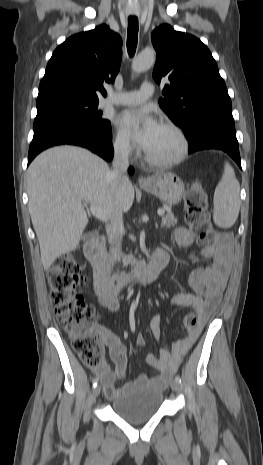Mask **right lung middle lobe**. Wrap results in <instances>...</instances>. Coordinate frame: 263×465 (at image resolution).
I'll return each mask as SVG.
<instances>
[{"instance_id":"right-lung-middle-lobe-1","label":"right lung middle lobe","mask_w":263,"mask_h":465,"mask_svg":"<svg viewBox=\"0 0 263 465\" xmlns=\"http://www.w3.org/2000/svg\"><path fill=\"white\" fill-rule=\"evenodd\" d=\"M98 99L58 96L37 101L34 130L56 123H73L104 132L111 129L108 120L98 111Z\"/></svg>"}]
</instances>
